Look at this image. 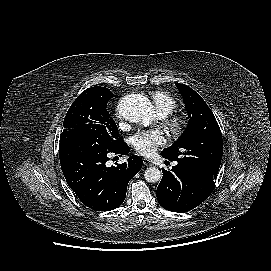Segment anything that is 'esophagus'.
<instances>
[{
  "mask_svg": "<svg viewBox=\"0 0 271 271\" xmlns=\"http://www.w3.org/2000/svg\"><path fill=\"white\" fill-rule=\"evenodd\" d=\"M143 164H144L145 166H151V165H152V162H151L149 159L144 158V159H143Z\"/></svg>",
  "mask_w": 271,
  "mask_h": 271,
  "instance_id": "obj_1",
  "label": "esophagus"
}]
</instances>
